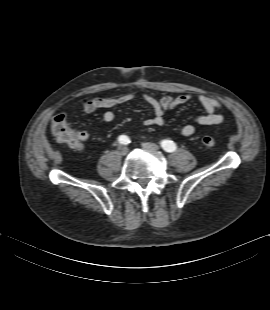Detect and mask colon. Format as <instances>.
Returning <instances> with one entry per match:
<instances>
[{"label": "colon", "mask_w": 270, "mask_h": 310, "mask_svg": "<svg viewBox=\"0 0 270 310\" xmlns=\"http://www.w3.org/2000/svg\"><path fill=\"white\" fill-rule=\"evenodd\" d=\"M51 131L59 142L73 148L80 147L79 134L70 127L65 114H58L53 118L51 122ZM201 142L206 147H213L216 144L215 138L211 135L203 136Z\"/></svg>", "instance_id": "5ec220e1"}]
</instances>
